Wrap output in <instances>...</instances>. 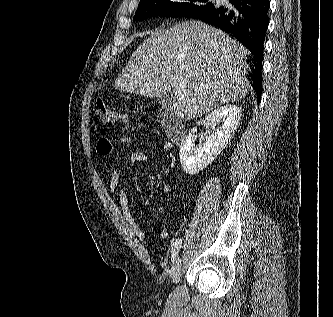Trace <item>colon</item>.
Wrapping results in <instances>:
<instances>
[{"instance_id":"colon-1","label":"colon","mask_w":333,"mask_h":317,"mask_svg":"<svg viewBox=\"0 0 333 317\" xmlns=\"http://www.w3.org/2000/svg\"><path fill=\"white\" fill-rule=\"evenodd\" d=\"M95 111L99 116L100 122L106 127L115 122H120L123 125H126L129 120L127 113L117 111L103 103H98Z\"/></svg>"}]
</instances>
